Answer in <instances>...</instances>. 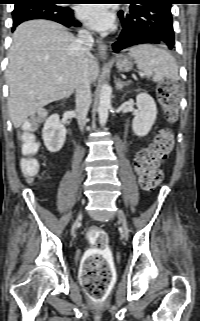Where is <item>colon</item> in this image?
Returning a JSON list of instances; mask_svg holds the SVG:
<instances>
[{
  "instance_id": "colon-1",
  "label": "colon",
  "mask_w": 200,
  "mask_h": 321,
  "mask_svg": "<svg viewBox=\"0 0 200 321\" xmlns=\"http://www.w3.org/2000/svg\"><path fill=\"white\" fill-rule=\"evenodd\" d=\"M180 85L174 80L161 82L157 96L167 121L173 123L178 117V100ZM43 112H37L33 119L22 126L18 134L20 150L23 155L21 170L31 179L39 170L40 162L36 157L40 144L36 136L38 123L43 119ZM174 144L173 134L169 129L157 132L152 143L142 149L135 157V170L139 175L141 186L148 191L160 183L161 163L168 157ZM90 245L80 270V280L85 291L96 301L105 298L112 279L111 260L108 253V234L101 228L91 227L86 233Z\"/></svg>"
}]
</instances>
